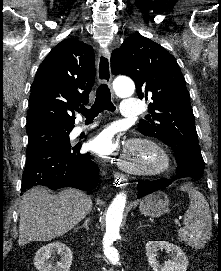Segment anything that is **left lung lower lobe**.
I'll list each match as a JSON object with an SVG mask.
<instances>
[{
  "mask_svg": "<svg viewBox=\"0 0 221 271\" xmlns=\"http://www.w3.org/2000/svg\"><path fill=\"white\" fill-rule=\"evenodd\" d=\"M178 167L174 179L193 177L198 180L202 177L204 172V164H202L196 157L186 150L173 146ZM172 180L162 178L154 181H140L138 184V198L146 196L154 191L168 187Z\"/></svg>",
  "mask_w": 221,
  "mask_h": 271,
  "instance_id": "left-lung-lower-lobe-1",
  "label": "left lung lower lobe"
}]
</instances>
